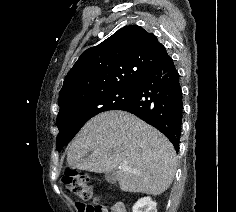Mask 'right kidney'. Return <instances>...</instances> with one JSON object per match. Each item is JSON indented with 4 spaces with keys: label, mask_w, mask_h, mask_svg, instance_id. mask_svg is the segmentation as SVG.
I'll list each match as a JSON object with an SVG mask.
<instances>
[{
    "label": "right kidney",
    "mask_w": 236,
    "mask_h": 212,
    "mask_svg": "<svg viewBox=\"0 0 236 212\" xmlns=\"http://www.w3.org/2000/svg\"><path fill=\"white\" fill-rule=\"evenodd\" d=\"M157 203L150 197L139 199L133 206L132 212H157Z\"/></svg>",
    "instance_id": "ca27d5eb"
}]
</instances>
